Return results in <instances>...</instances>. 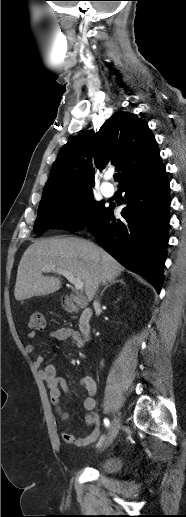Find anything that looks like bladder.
<instances>
[{
  "mask_svg": "<svg viewBox=\"0 0 186 517\" xmlns=\"http://www.w3.org/2000/svg\"><path fill=\"white\" fill-rule=\"evenodd\" d=\"M122 467V460L120 457H112L107 459L101 466V470L107 473H114Z\"/></svg>",
  "mask_w": 186,
  "mask_h": 517,
  "instance_id": "1",
  "label": "bladder"
}]
</instances>
